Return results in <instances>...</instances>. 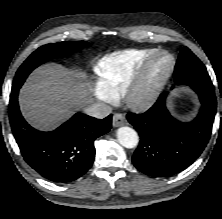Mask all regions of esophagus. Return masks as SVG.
I'll use <instances>...</instances> for the list:
<instances>
[{
    "mask_svg": "<svg viewBox=\"0 0 222 219\" xmlns=\"http://www.w3.org/2000/svg\"><path fill=\"white\" fill-rule=\"evenodd\" d=\"M112 124L114 127H119L125 124V117L121 113H115L113 115V121Z\"/></svg>",
    "mask_w": 222,
    "mask_h": 219,
    "instance_id": "34e87169",
    "label": "esophagus"
}]
</instances>
